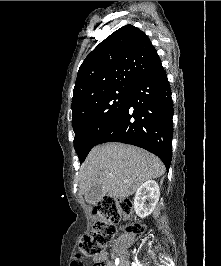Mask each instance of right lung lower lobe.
I'll use <instances>...</instances> for the list:
<instances>
[{
  "mask_svg": "<svg viewBox=\"0 0 221 266\" xmlns=\"http://www.w3.org/2000/svg\"><path fill=\"white\" fill-rule=\"evenodd\" d=\"M173 113L171 88L160 64L132 85L123 110L102 132L96 145L105 142L135 145L157 155L169 169Z\"/></svg>",
  "mask_w": 221,
  "mask_h": 266,
  "instance_id": "obj_1",
  "label": "right lung lower lobe"
}]
</instances>
